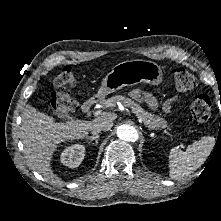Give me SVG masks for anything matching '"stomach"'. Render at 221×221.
I'll use <instances>...</instances> for the list:
<instances>
[{
  "instance_id": "obj_1",
  "label": "stomach",
  "mask_w": 221,
  "mask_h": 221,
  "mask_svg": "<svg viewBox=\"0 0 221 221\" xmlns=\"http://www.w3.org/2000/svg\"><path fill=\"white\" fill-rule=\"evenodd\" d=\"M162 80V70L155 62L142 59L127 60L115 65L106 75L96 97L102 101L108 94L123 87L140 83L158 85Z\"/></svg>"
}]
</instances>
